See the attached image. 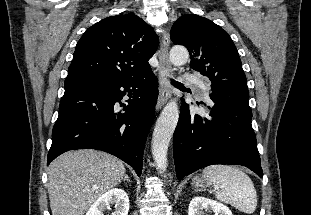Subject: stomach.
<instances>
[{"label": "stomach", "instance_id": "obj_1", "mask_svg": "<svg viewBox=\"0 0 311 215\" xmlns=\"http://www.w3.org/2000/svg\"><path fill=\"white\" fill-rule=\"evenodd\" d=\"M192 185L195 188H205L208 184L203 177L196 176L192 179Z\"/></svg>", "mask_w": 311, "mask_h": 215}]
</instances>
